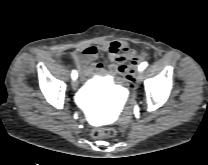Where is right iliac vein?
Segmentation results:
<instances>
[{
  "mask_svg": "<svg viewBox=\"0 0 208 165\" xmlns=\"http://www.w3.org/2000/svg\"><path fill=\"white\" fill-rule=\"evenodd\" d=\"M71 86L74 90H76L77 87H78V82L76 80H73L72 83H71Z\"/></svg>",
  "mask_w": 208,
  "mask_h": 165,
  "instance_id": "obj_1",
  "label": "right iliac vein"
}]
</instances>
